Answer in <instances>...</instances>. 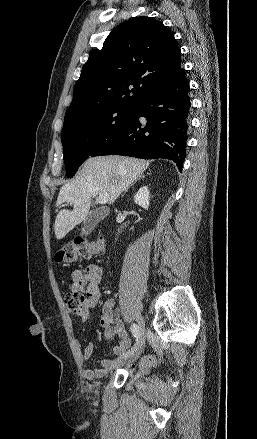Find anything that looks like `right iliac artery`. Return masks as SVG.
I'll use <instances>...</instances> for the list:
<instances>
[{
    "instance_id": "82829eb1",
    "label": "right iliac artery",
    "mask_w": 257,
    "mask_h": 439,
    "mask_svg": "<svg viewBox=\"0 0 257 439\" xmlns=\"http://www.w3.org/2000/svg\"><path fill=\"white\" fill-rule=\"evenodd\" d=\"M131 333L133 335V337L136 339V341H138V339L140 338V329L139 326L137 324H132L130 327ZM133 350L131 352H128L124 355V357H128L130 354H133Z\"/></svg>"
}]
</instances>
